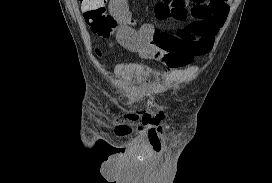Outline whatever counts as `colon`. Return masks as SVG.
<instances>
[{
  "instance_id": "1",
  "label": "colon",
  "mask_w": 272,
  "mask_h": 183,
  "mask_svg": "<svg viewBox=\"0 0 272 183\" xmlns=\"http://www.w3.org/2000/svg\"><path fill=\"white\" fill-rule=\"evenodd\" d=\"M106 0H80L84 18L91 29L100 36L109 37L120 26V19L115 13H108ZM111 5L117 13H125L126 0H112Z\"/></svg>"
}]
</instances>
